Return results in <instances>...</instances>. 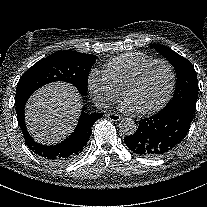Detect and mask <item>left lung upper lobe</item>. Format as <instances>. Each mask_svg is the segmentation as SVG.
Segmentation results:
<instances>
[{
	"mask_svg": "<svg viewBox=\"0 0 207 207\" xmlns=\"http://www.w3.org/2000/svg\"><path fill=\"white\" fill-rule=\"evenodd\" d=\"M151 48L161 53L172 64L177 73L174 96L163 109L183 107L194 113L198 97V81L193 65L169 47L153 44Z\"/></svg>",
	"mask_w": 207,
	"mask_h": 207,
	"instance_id": "5c2ea615",
	"label": "left lung upper lobe"
}]
</instances>
